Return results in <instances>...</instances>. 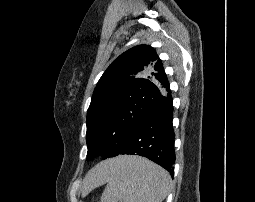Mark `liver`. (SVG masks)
Returning a JSON list of instances; mask_svg holds the SVG:
<instances>
[{"label":"liver","mask_w":255,"mask_h":202,"mask_svg":"<svg viewBox=\"0 0 255 202\" xmlns=\"http://www.w3.org/2000/svg\"><path fill=\"white\" fill-rule=\"evenodd\" d=\"M122 158L123 157H117V158H114V159H109V160H106V161L100 163L96 167H94L86 175V177L84 179V188H85V190H90V189L96 187L97 185H99L103 181V172H102L103 166H105L107 164H114Z\"/></svg>","instance_id":"6515ba94"}]
</instances>
